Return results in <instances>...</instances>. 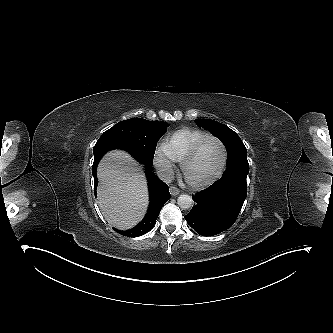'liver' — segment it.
Here are the masks:
<instances>
[{
  "mask_svg": "<svg viewBox=\"0 0 333 333\" xmlns=\"http://www.w3.org/2000/svg\"><path fill=\"white\" fill-rule=\"evenodd\" d=\"M98 205L112 226L126 230L142 220L148 206L142 167L125 151H111L98 166Z\"/></svg>",
  "mask_w": 333,
  "mask_h": 333,
  "instance_id": "obj_1",
  "label": "liver"
}]
</instances>
